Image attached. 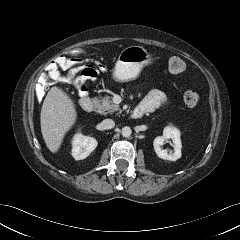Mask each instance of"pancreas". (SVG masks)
<instances>
[{
  "label": "pancreas",
  "instance_id": "obj_1",
  "mask_svg": "<svg viewBox=\"0 0 240 240\" xmlns=\"http://www.w3.org/2000/svg\"><path fill=\"white\" fill-rule=\"evenodd\" d=\"M97 112L103 115L112 114L119 110V106L114 104L111 97L105 96L96 99Z\"/></svg>",
  "mask_w": 240,
  "mask_h": 240
}]
</instances>
